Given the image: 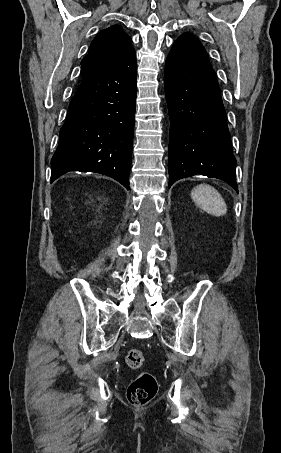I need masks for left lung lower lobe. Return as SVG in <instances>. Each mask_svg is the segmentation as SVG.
Listing matches in <instances>:
<instances>
[{
	"instance_id": "0a47b994",
	"label": "left lung lower lobe",
	"mask_w": 281,
	"mask_h": 453,
	"mask_svg": "<svg viewBox=\"0 0 281 453\" xmlns=\"http://www.w3.org/2000/svg\"><path fill=\"white\" fill-rule=\"evenodd\" d=\"M165 95L170 117L169 187L201 174L238 192L236 159L221 92L202 44L183 34L166 59Z\"/></svg>"
}]
</instances>
